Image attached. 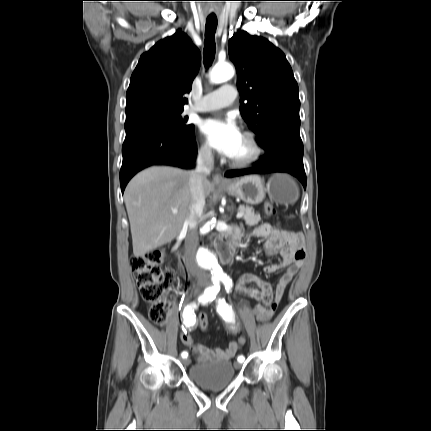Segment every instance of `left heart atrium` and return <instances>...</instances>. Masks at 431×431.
<instances>
[{
  "label": "left heart atrium",
  "instance_id": "obj_1",
  "mask_svg": "<svg viewBox=\"0 0 431 431\" xmlns=\"http://www.w3.org/2000/svg\"><path fill=\"white\" fill-rule=\"evenodd\" d=\"M200 131L211 147L228 157H232L243 136L230 119L207 118L201 122Z\"/></svg>",
  "mask_w": 431,
  "mask_h": 431
}]
</instances>
